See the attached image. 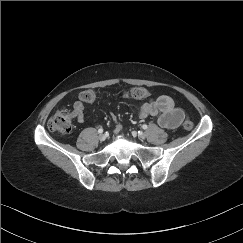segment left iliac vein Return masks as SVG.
<instances>
[{"instance_id": "left-iliac-vein-1", "label": "left iliac vein", "mask_w": 243, "mask_h": 243, "mask_svg": "<svg viewBox=\"0 0 243 243\" xmlns=\"http://www.w3.org/2000/svg\"><path fill=\"white\" fill-rule=\"evenodd\" d=\"M139 136H140L141 138H145V133L142 132V133L139 134Z\"/></svg>"}]
</instances>
